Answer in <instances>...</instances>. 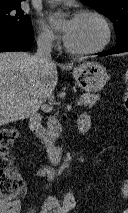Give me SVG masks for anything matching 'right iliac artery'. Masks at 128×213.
<instances>
[{"label": "right iliac artery", "instance_id": "82829eb1", "mask_svg": "<svg viewBox=\"0 0 128 213\" xmlns=\"http://www.w3.org/2000/svg\"><path fill=\"white\" fill-rule=\"evenodd\" d=\"M63 170V167L58 170V174H60Z\"/></svg>", "mask_w": 128, "mask_h": 213}]
</instances>
